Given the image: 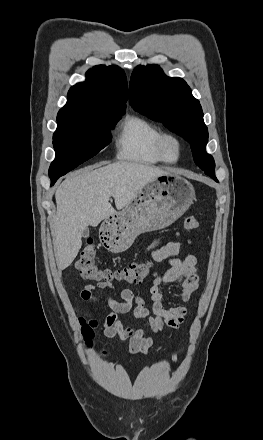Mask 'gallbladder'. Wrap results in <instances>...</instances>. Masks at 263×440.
Listing matches in <instances>:
<instances>
[{"label":"gallbladder","mask_w":263,"mask_h":440,"mask_svg":"<svg viewBox=\"0 0 263 440\" xmlns=\"http://www.w3.org/2000/svg\"><path fill=\"white\" fill-rule=\"evenodd\" d=\"M82 236L85 237V238L89 236V228L86 227V228L83 230V232H82Z\"/></svg>","instance_id":"1"}]
</instances>
